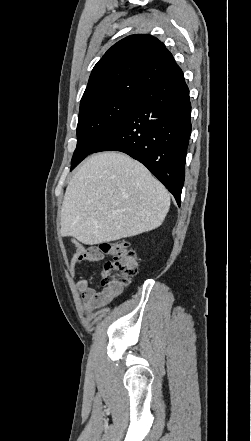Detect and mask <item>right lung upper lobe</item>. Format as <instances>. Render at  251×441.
<instances>
[{
  "label": "right lung upper lobe",
  "mask_w": 251,
  "mask_h": 441,
  "mask_svg": "<svg viewBox=\"0 0 251 441\" xmlns=\"http://www.w3.org/2000/svg\"><path fill=\"white\" fill-rule=\"evenodd\" d=\"M179 71L172 54L157 38L130 35L114 44L94 66L80 109L105 98L143 95Z\"/></svg>",
  "instance_id": "right-lung-upper-lobe-1"
}]
</instances>
